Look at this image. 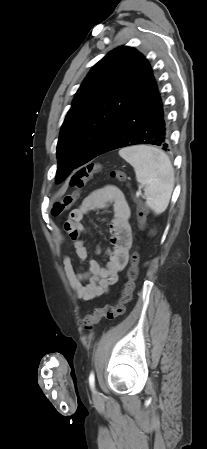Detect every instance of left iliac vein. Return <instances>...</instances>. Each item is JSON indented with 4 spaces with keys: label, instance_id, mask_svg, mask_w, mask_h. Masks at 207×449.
I'll return each mask as SVG.
<instances>
[{
    "label": "left iliac vein",
    "instance_id": "4c4485c4",
    "mask_svg": "<svg viewBox=\"0 0 207 449\" xmlns=\"http://www.w3.org/2000/svg\"><path fill=\"white\" fill-rule=\"evenodd\" d=\"M94 398H98V392L94 391Z\"/></svg>",
    "mask_w": 207,
    "mask_h": 449
}]
</instances>
